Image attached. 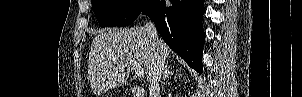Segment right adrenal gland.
Wrapping results in <instances>:
<instances>
[{"label": "right adrenal gland", "instance_id": "2a0ac1e0", "mask_svg": "<svg viewBox=\"0 0 302 97\" xmlns=\"http://www.w3.org/2000/svg\"><path fill=\"white\" fill-rule=\"evenodd\" d=\"M169 68H170V67H169L168 64H167V65L165 66L164 73H163V77H162V80H161V84H160L161 87H163L166 78H168L169 75H172V74H173V71H170Z\"/></svg>", "mask_w": 302, "mask_h": 97}]
</instances>
